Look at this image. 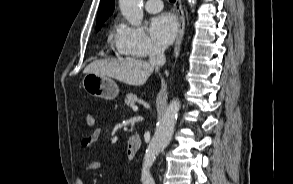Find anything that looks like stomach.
Here are the masks:
<instances>
[{"instance_id": "obj_1", "label": "stomach", "mask_w": 293, "mask_h": 184, "mask_svg": "<svg viewBox=\"0 0 293 184\" xmlns=\"http://www.w3.org/2000/svg\"><path fill=\"white\" fill-rule=\"evenodd\" d=\"M82 85L85 91L93 97L112 100L119 93V87L113 79L95 73H86Z\"/></svg>"}]
</instances>
